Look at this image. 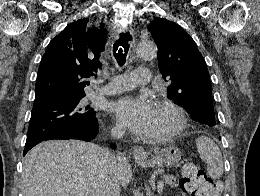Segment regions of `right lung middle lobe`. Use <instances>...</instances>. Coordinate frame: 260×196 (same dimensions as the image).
Here are the masks:
<instances>
[{"mask_svg": "<svg viewBox=\"0 0 260 196\" xmlns=\"http://www.w3.org/2000/svg\"><path fill=\"white\" fill-rule=\"evenodd\" d=\"M84 97L85 93L62 95L33 105L25 145L95 123L96 113Z\"/></svg>", "mask_w": 260, "mask_h": 196, "instance_id": "1", "label": "right lung middle lobe"}]
</instances>
